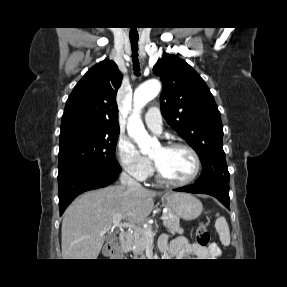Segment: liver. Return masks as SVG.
<instances>
[{"label": "liver", "mask_w": 287, "mask_h": 287, "mask_svg": "<svg viewBox=\"0 0 287 287\" xmlns=\"http://www.w3.org/2000/svg\"><path fill=\"white\" fill-rule=\"evenodd\" d=\"M157 192L108 186L82 194L66 209L61 228L63 259H97L113 218L121 214L132 224L144 223Z\"/></svg>", "instance_id": "obj_1"}]
</instances>
